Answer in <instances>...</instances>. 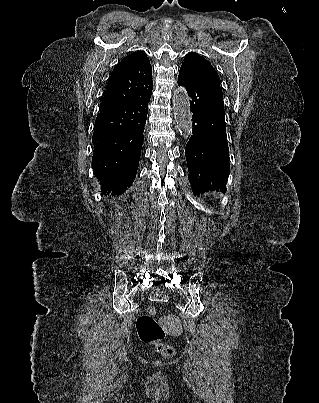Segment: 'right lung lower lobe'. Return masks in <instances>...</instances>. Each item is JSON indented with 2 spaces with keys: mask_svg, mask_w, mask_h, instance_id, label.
I'll return each instance as SVG.
<instances>
[{
  "mask_svg": "<svg viewBox=\"0 0 319 403\" xmlns=\"http://www.w3.org/2000/svg\"><path fill=\"white\" fill-rule=\"evenodd\" d=\"M150 98L151 94L97 115L92 168L102 191L119 195L134 181Z\"/></svg>",
  "mask_w": 319,
  "mask_h": 403,
  "instance_id": "right-lung-lower-lobe-1",
  "label": "right lung lower lobe"
}]
</instances>
